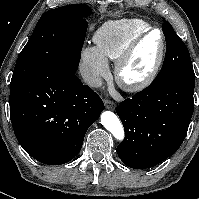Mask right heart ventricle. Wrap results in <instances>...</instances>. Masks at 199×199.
Returning <instances> with one entry per match:
<instances>
[{
    "label": "right heart ventricle",
    "instance_id": "right-heart-ventricle-1",
    "mask_svg": "<svg viewBox=\"0 0 199 199\" xmlns=\"http://www.w3.org/2000/svg\"><path fill=\"white\" fill-rule=\"evenodd\" d=\"M151 28L142 19H121L103 24L94 35L97 50L105 59L116 61L130 42Z\"/></svg>",
    "mask_w": 199,
    "mask_h": 199
}]
</instances>
